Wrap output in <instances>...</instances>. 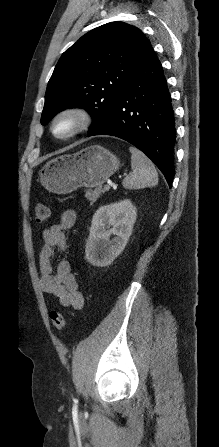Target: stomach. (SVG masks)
<instances>
[{
	"instance_id": "obj_1",
	"label": "stomach",
	"mask_w": 219,
	"mask_h": 447,
	"mask_svg": "<svg viewBox=\"0 0 219 447\" xmlns=\"http://www.w3.org/2000/svg\"><path fill=\"white\" fill-rule=\"evenodd\" d=\"M119 165L116 155L100 145H92L48 161L39 176L49 192L68 194L79 187L101 186Z\"/></svg>"
}]
</instances>
